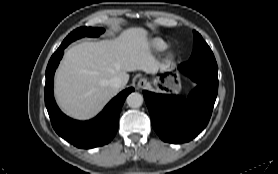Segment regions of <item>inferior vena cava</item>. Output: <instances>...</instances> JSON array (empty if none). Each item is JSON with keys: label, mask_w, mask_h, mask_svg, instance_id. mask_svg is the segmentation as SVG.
Here are the masks:
<instances>
[{"label": "inferior vena cava", "mask_w": 278, "mask_h": 174, "mask_svg": "<svg viewBox=\"0 0 278 174\" xmlns=\"http://www.w3.org/2000/svg\"><path fill=\"white\" fill-rule=\"evenodd\" d=\"M109 85L113 88L119 89V88L122 87L123 82H122L120 77L116 76V77H113V78L110 79Z\"/></svg>", "instance_id": "obj_1"}]
</instances>
